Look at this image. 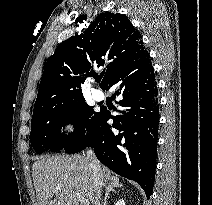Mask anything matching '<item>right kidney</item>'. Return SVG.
Masks as SVG:
<instances>
[{"label":"right kidney","instance_id":"right-kidney-1","mask_svg":"<svg viewBox=\"0 0 212 205\" xmlns=\"http://www.w3.org/2000/svg\"><path fill=\"white\" fill-rule=\"evenodd\" d=\"M115 205H126L123 199L118 200Z\"/></svg>","mask_w":212,"mask_h":205}]
</instances>
